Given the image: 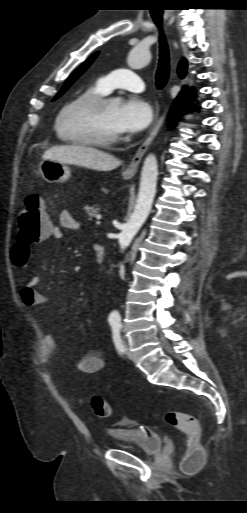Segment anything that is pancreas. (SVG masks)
Wrapping results in <instances>:
<instances>
[{"label":"pancreas","mask_w":247,"mask_h":513,"mask_svg":"<svg viewBox=\"0 0 247 513\" xmlns=\"http://www.w3.org/2000/svg\"><path fill=\"white\" fill-rule=\"evenodd\" d=\"M86 212L89 216V218L95 217L99 212L100 208H98V205L94 204L93 206H86Z\"/></svg>","instance_id":"pancreas-1"}]
</instances>
